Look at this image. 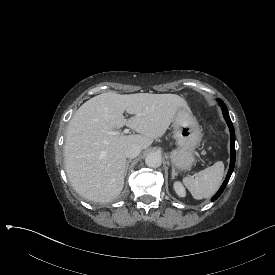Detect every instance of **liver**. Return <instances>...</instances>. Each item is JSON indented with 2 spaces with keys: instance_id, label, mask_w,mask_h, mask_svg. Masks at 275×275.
I'll list each match as a JSON object with an SVG mask.
<instances>
[{
  "instance_id": "obj_1",
  "label": "liver",
  "mask_w": 275,
  "mask_h": 275,
  "mask_svg": "<svg viewBox=\"0 0 275 275\" xmlns=\"http://www.w3.org/2000/svg\"><path fill=\"white\" fill-rule=\"evenodd\" d=\"M179 107L189 109L176 94L107 92L86 101L69 122L64 146L66 172L74 190L95 202L115 199L124 186V148L128 144L148 148L166 132ZM124 111L134 116L126 120ZM124 125L139 134H107Z\"/></svg>"
}]
</instances>
